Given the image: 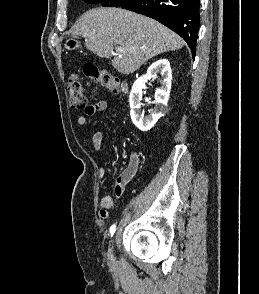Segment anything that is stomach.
I'll list each match as a JSON object with an SVG mask.
<instances>
[{"mask_svg":"<svg viewBox=\"0 0 259 294\" xmlns=\"http://www.w3.org/2000/svg\"><path fill=\"white\" fill-rule=\"evenodd\" d=\"M64 46L67 50H75L80 47V43L75 39V37H70L66 40Z\"/></svg>","mask_w":259,"mask_h":294,"instance_id":"obj_1","label":"stomach"}]
</instances>
